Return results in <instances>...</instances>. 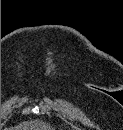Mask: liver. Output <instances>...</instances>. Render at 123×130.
<instances>
[{"mask_svg":"<svg viewBox=\"0 0 123 130\" xmlns=\"http://www.w3.org/2000/svg\"><path fill=\"white\" fill-rule=\"evenodd\" d=\"M17 130H47V126L38 122H28L18 126Z\"/></svg>","mask_w":123,"mask_h":130,"instance_id":"6515ba94","label":"liver"}]
</instances>
